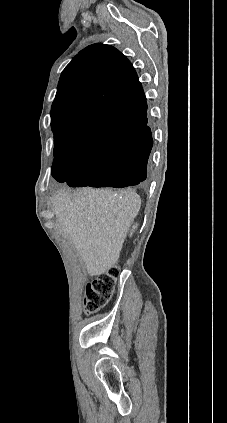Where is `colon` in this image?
I'll return each instance as SVG.
<instances>
[{
	"mask_svg": "<svg viewBox=\"0 0 227 423\" xmlns=\"http://www.w3.org/2000/svg\"><path fill=\"white\" fill-rule=\"evenodd\" d=\"M119 268L114 266L91 280L85 289L83 306L86 313L100 310L112 296Z\"/></svg>",
	"mask_w": 227,
	"mask_h": 423,
	"instance_id": "colon-1",
	"label": "colon"
}]
</instances>
